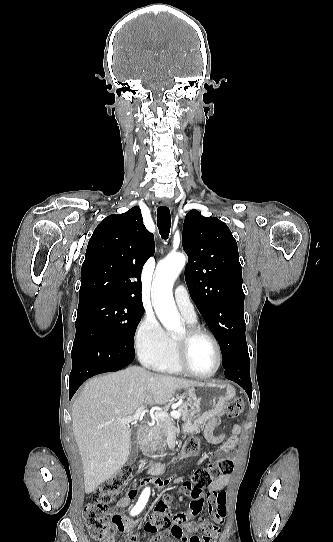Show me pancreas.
<instances>
[{
  "mask_svg": "<svg viewBox=\"0 0 333 542\" xmlns=\"http://www.w3.org/2000/svg\"><path fill=\"white\" fill-rule=\"evenodd\" d=\"M190 406L191 404H189V402H182V404L178 406V410H176V412H180L181 420H183V422H187V420L191 418V414L188 410ZM173 430H175V426L172 424L171 418L156 420V426H151V428H149V438L146 440L147 446L143 450L144 456L153 458V456H156L155 452H160V458L167 456V454H164L167 448L166 438L169 432H173Z\"/></svg>",
  "mask_w": 333,
  "mask_h": 542,
  "instance_id": "obj_1",
  "label": "pancreas"
}]
</instances>
